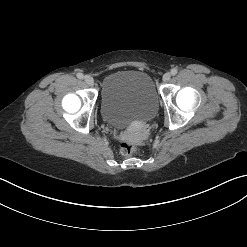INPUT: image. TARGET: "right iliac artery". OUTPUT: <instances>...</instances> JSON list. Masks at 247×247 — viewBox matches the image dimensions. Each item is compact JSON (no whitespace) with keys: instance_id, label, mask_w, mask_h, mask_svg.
Masks as SVG:
<instances>
[{"instance_id":"82829eb1","label":"right iliac artery","mask_w":247,"mask_h":247,"mask_svg":"<svg viewBox=\"0 0 247 247\" xmlns=\"http://www.w3.org/2000/svg\"><path fill=\"white\" fill-rule=\"evenodd\" d=\"M77 78H79V79H83L84 78V76H83V74L82 73H77Z\"/></svg>"}]
</instances>
